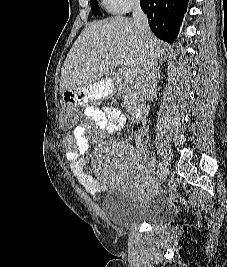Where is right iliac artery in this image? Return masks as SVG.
<instances>
[{
    "label": "right iliac artery",
    "instance_id": "right-iliac-artery-1",
    "mask_svg": "<svg viewBox=\"0 0 227 267\" xmlns=\"http://www.w3.org/2000/svg\"><path fill=\"white\" fill-rule=\"evenodd\" d=\"M151 169L154 170L155 169V161L153 160L151 165H150ZM160 174V170L157 171V175Z\"/></svg>",
    "mask_w": 227,
    "mask_h": 267
}]
</instances>
